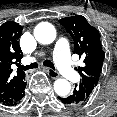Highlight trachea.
I'll use <instances>...</instances> for the list:
<instances>
[{
    "instance_id": "trachea-1",
    "label": "trachea",
    "mask_w": 117,
    "mask_h": 117,
    "mask_svg": "<svg viewBox=\"0 0 117 117\" xmlns=\"http://www.w3.org/2000/svg\"><path fill=\"white\" fill-rule=\"evenodd\" d=\"M43 65L50 67L51 69L55 70L54 64L50 60H44ZM37 67H38L37 62L31 63L30 65H26V66H23V65H20V64L18 65V68L21 69V70L35 69Z\"/></svg>"
}]
</instances>
